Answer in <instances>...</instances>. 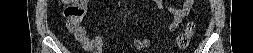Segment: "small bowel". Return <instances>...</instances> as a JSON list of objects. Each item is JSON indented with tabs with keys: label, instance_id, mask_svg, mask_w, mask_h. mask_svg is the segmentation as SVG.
Returning <instances> with one entry per match:
<instances>
[{
	"label": "small bowel",
	"instance_id": "small-bowel-1",
	"mask_svg": "<svg viewBox=\"0 0 253 53\" xmlns=\"http://www.w3.org/2000/svg\"><path fill=\"white\" fill-rule=\"evenodd\" d=\"M193 4H194V0H185L181 8H175V7L168 8V11L172 14V21L169 26L171 30L176 29L180 25L182 19L189 13ZM75 36L78 39V41L82 43L83 47L86 50L92 49V43L90 39L87 37V29L85 26L83 25L80 26L75 31Z\"/></svg>",
	"mask_w": 253,
	"mask_h": 53
}]
</instances>
